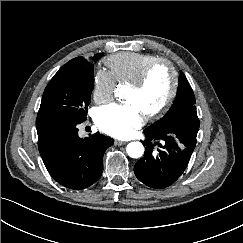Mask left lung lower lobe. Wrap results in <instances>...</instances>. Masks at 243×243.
I'll use <instances>...</instances> for the list:
<instances>
[{"label":"left lung lower lobe","mask_w":243,"mask_h":243,"mask_svg":"<svg viewBox=\"0 0 243 243\" xmlns=\"http://www.w3.org/2000/svg\"><path fill=\"white\" fill-rule=\"evenodd\" d=\"M191 125L179 124L158 132L144 130V156L134 166L136 177L155 189L172 185L186 169L196 145Z\"/></svg>","instance_id":"left-lung-lower-lobe-1"}]
</instances>
